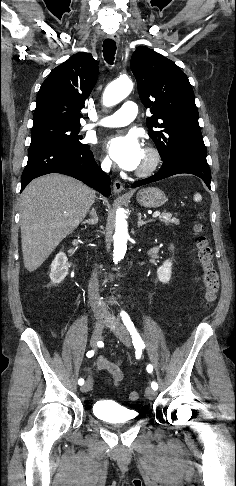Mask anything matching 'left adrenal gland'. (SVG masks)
<instances>
[{"label": "left adrenal gland", "mask_w": 236, "mask_h": 486, "mask_svg": "<svg viewBox=\"0 0 236 486\" xmlns=\"http://www.w3.org/2000/svg\"><path fill=\"white\" fill-rule=\"evenodd\" d=\"M150 221H143L142 220V215L141 213H138V221H137V226L138 228L142 227L143 225L149 223Z\"/></svg>", "instance_id": "1"}]
</instances>
